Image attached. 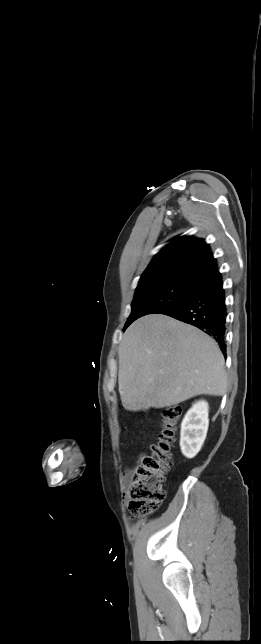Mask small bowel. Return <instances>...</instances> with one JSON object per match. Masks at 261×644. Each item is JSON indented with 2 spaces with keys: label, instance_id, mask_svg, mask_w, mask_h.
Returning a JSON list of instances; mask_svg holds the SVG:
<instances>
[{
  "label": "small bowel",
  "instance_id": "c3829d8e",
  "mask_svg": "<svg viewBox=\"0 0 261 644\" xmlns=\"http://www.w3.org/2000/svg\"><path fill=\"white\" fill-rule=\"evenodd\" d=\"M135 476V469L134 468H128L125 470L124 475H123V481L124 484L127 485L129 484Z\"/></svg>",
  "mask_w": 261,
  "mask_h": 644
}]
</instances>
